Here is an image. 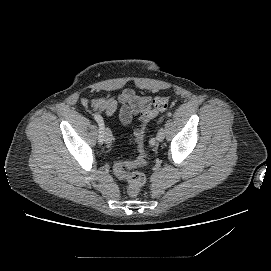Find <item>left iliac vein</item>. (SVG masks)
<instances>
[{
  "label": "left iliac vein",
  "instance_id": "1",
  "mask_svg": "<svg viewBox=\"0 0 271 271\" xmlns=\"http://www.w3.org/2000/svg\"><path fill=\"white\" fill-rule=\"evenodd\" d=\"M164 137H165L164 129L160 128L157 133V141H159V142L163 141Z\"/></svg>",
  "mask_w": 271,
  "mask_h": 271
}]
</instances>
